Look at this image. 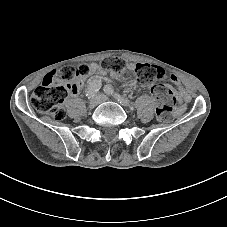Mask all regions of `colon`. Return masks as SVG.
<instances>
[{
	"label": "colon",
	"mask_w": 227,
	"mask_h": 227,
	"mask_svg": "<svg viewBox=\"0 0 227 227\" xmlns=\"http://www.w3.org/2000/svg\"><path fill=\"white\" fill-rule=\"evenodd\" d=\"M103 65L116 75H121L129 70V63L121 58L109 60ZM89 71L88 64L64 65L51 71L33 91L32 106L57 121L62 120L65 117L62 107L63 100L69 93H74L78 89L82 77ZM133 71L138 78L147 82L162 79L165 76V70L162 67L147 63L135 64ZM151 93L156 101L158 120L169 121L177 102L175 91L167 85L155 84L151 87Z\"/></svg>",
	"instance_id": "5ec220e1"
}]
</instances>
